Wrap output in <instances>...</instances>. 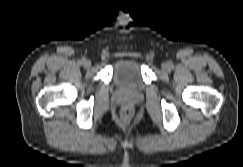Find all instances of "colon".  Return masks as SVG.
<instances>
[{"instance_id":"1","label":"colon","mask_w":243,"mask_h":167,"mask_svg":"<svg viewBox=\"0 0 243 167\" xmlns=\"http://www.w3.org/2000/svg\"><path fill=\"white\" fill-rule=\"evenodd\" d=\"M133 115V110L130 107H124L121 111V121L124 124H129L131 122Z\"/></svg>"}]
</instances>
